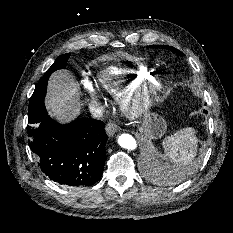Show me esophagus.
I'll return each mask as SVG.
<instances>
[{"mask_svg":"<svg viewBox=\"0 0 233 233\" xmlns=\"http://www.w3.org/2000/svg\"><path fill=\"white\" fill-rule=\"evenodd\" d=\"M106 133L109 137H112L118 130L117 124L113 121H110L106 125Z\"/></svg>","mask_w":233,"mask_h":233,"instance_id":"1","label":"esophagus"}]
</instances>
